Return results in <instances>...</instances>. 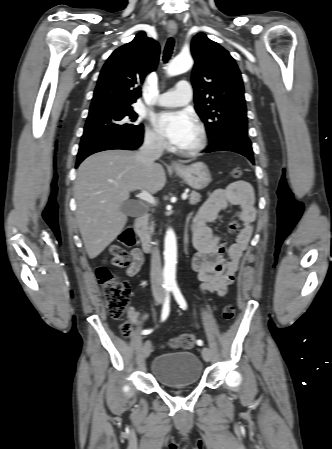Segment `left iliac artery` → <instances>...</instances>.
<instances>
[{
  "label": "left iliac artery",
  "instance_id": "obj_1",
  "mask_svg": "<svg viewBox=\"0 0 332 449\" xmlns=\"http://www.w3.org/2000/svg\"><path fill=\"white\" fill-rule=\"evenodd\" d=\"M171 291L174 295L175 300L177 301V303L179 304V306L182 309H187V303L185 298L183 297L179 287L177 285H173L171 287ZM197 345L202 346L203 345V341L202 340H197Z\"/></svg>",
  "mask_w": 332,
  "mask_h": 449
}]
</instances>
